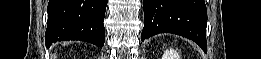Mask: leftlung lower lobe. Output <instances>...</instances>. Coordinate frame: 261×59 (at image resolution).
I'll list each match as a JSON object with an SVG mask.
<instances>
[{
	"instance_id": "1",
	"label": "left lung lower lobe",
	"mask_w": 261,
	"mask_h": 59,
	"mask_svg": "<svg viewBox=\"0 0 261 59\" xmlns=\"http://www.w3.org/2000/svg\"><path fill=\"white\" fill-rule=\"evenodd\" d=\"M207 10L204 0H144L141 40L173 33L196 42L205 52Z\"/></svg>"
}]
</instances>
